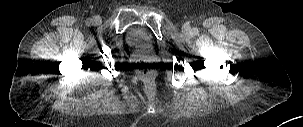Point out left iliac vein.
<instances>
[{
    "instance_id": "4c4485c4",
    "label": "left iliac vein",
    "mask_w": 303,
    "mask_h": 127,
    "mask_svg": "<svg viewBox=\"0 0 303 127\" xmlns=\"http://www.w3.org/2000/svg\"><path fill=\"white\" fill-rule=\"evenodd\" d=\"M183 31L186 34H190L191 33V28L187 25L183 26Z\"/></svg>"
}]
</instances>
